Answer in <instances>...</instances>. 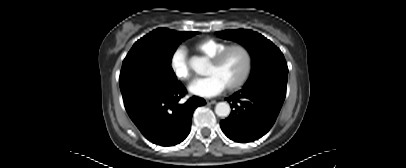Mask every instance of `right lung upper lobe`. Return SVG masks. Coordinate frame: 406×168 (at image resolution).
Here are the masks:
<instances>
[{
    "instance_id": "right-lung-upper-lobe-1",
    "label": "right lung upper lobe",
    "mask_w": 406,
    "mask_h": 168,
    "mask_svg": "<svg viewBox=\"0 0 406 168\" xmlns=\"http://www.w3.org/2000/svg\"><path fill=\"white\" fill-rule=\"evenodd\" d=\"M159 29H165V28H159ZM159 29H156V30H159ZM167 30H169V29H167ZM171 31H173V30H171ZM174 32H176V31H174ZM177 33H185V32H177Z\"/></svg>"
}]
</instances>
